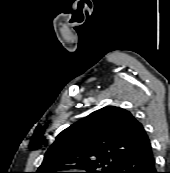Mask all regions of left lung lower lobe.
Masks as SVG:
<instances>
[{
    "mask_svg": "<svg viewBox=\"0 0 170 173\" xmlns=\"http://www.w3.org/2000/svg\"><path fill=\"white\" fill-rule=\"evenodd\" d=\"M113 173H157L151 144L143 151L129 155Z\"/></svg>",
    "mask_w": 170,
    "mask_h": 173,
    "instance_id": "0a47b994",
    "label": "left lung lower lobe"
}]
</instances>
